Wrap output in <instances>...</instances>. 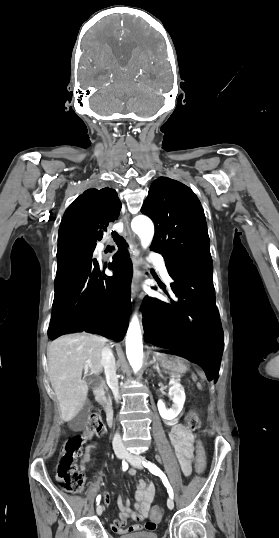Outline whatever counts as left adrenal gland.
I'll return each mask as SVG.
<instances>
[{
	"label": "left adrenal gland",
	"mask_w": 279,
	"mask_h": 538,
	"mask_svg": "<svg viewBox=\"0 0 279 538\" xmlns=\"http://www.w3.org/2000/svg\"><path fill=\"white\" fill-rule=\"evenodd\" d=\"M153 364H155V366H153V368H155V370H157L159 376H161V378H162V374H161V370L159 368V364H157V362H153Z\"/></svg>",
	"instance_id": "a2214340"
}]
</instances>
